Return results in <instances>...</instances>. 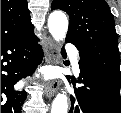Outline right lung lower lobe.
Listing matches in <instances>:
<instances>
[{
    "label": "right lung lower lobe",
    "instance_id": "right-lung-lower-lobe-1",
    "mask_svg": "<svg viewBox=\"0 0 121 113\" xmlns=\"http://www.w3.org/2000/svg\"><path fill=\"white\" fill-rule=\"evenodd\" d=\"M31 31L15 40L1 44V113H21L27 94L14 91L21 78L30 75L42 59V49ZM7 51H11L8 53ZM7 62V65H3Z\"/></svg>",
    "mask_w": 121,
    "mask_h": 113
}]
</instances>
